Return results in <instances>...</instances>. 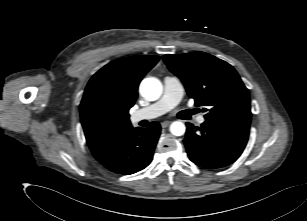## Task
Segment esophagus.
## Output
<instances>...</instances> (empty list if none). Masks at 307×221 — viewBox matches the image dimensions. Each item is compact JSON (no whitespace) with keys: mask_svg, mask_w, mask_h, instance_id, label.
Returning a JSON list of instances; mask_svg holds the SVG:
<instances>
[{"mask_svg":"<svg viewBox=\"0 0 307 221\" xmlns=\"http://www.w3.org/2000/svg\"><path fill=\"white\" fill-rule=\"evenodd\" d=\"M170 121H163L162 123H161V126H162V128H166V127H168L169 125H170Z\"/></svg>","mask_w":307,"mask_h":221,"instance_id":"1","label":"esophagus"}]
</instances>
